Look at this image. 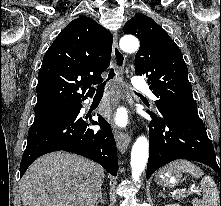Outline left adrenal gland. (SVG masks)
<instances>
[{
	"instance_id": "a2214340",
	"label": "left adrenal gland",
	"mask_w": 221,
	"mask_h": 206,
	"mask_svg": "<svg viewBox=\"0 0 221 206\" xmlns=\"http://www.w3.org/2000/svg\"><path fill=\"white\" fill-rule=\"evenodd\" d=\"M158 197H165V195L162 192H160Z\"/></svg>"
}]
</instances>
